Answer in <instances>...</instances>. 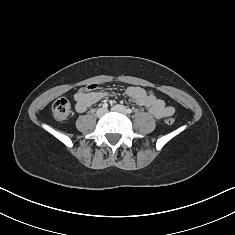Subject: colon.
Here are the masks:
<instances>
[{
  "label": "colon",
  "mask_w": 235,
  "mask_h": 235,
  "mask_svg": "<svg viewBox=\"0 0 235 235\" xmlns=\"http://www.w3.org/2000/svg\"><path fill=\"white\" fill-rule=\"evenodd\" d=\"M98 88V84L89 85L86 90L93 91ZM72 112V107L70 102L66 98L57 99L52 105V113L56 120L64 121L66 120ZM166 123L168 125H172L174 123V118L168 117L166 119Z\"/></svg>",
  "instance_id": "obj_1"
}]
</instances>
